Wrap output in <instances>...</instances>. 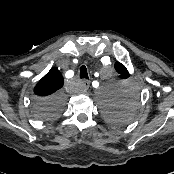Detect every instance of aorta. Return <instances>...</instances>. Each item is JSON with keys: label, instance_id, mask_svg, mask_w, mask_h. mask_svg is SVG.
I'll list each match as a JSON object with an SVG mask.
<instances>
[{"label": "aorta", "instance_id": "1", "mask_svg": "<svg viewBox=\"0 0 174 174\" xmlns=\"http://www.w3.org/2000/svg\"><path fill=\"white\" fill-rule=\"evenodd\" d=\"M101 94L103 95L104 98H109L110 97V93L108 91L105 90H101Z\"/></svg>", "mask_w": 174, "mask_h": 174}]
</instances>
